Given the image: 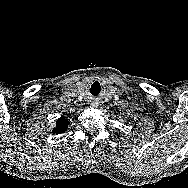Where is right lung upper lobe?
I'll return each instance as SVG.
<instances>
[{"instance_id": "1", "label": "right lung upper lobe", "mask_w": 188, "mask_h": 188, "mask_svg": "<svg viewBox=\"0 0 188 188\" xmlns=\"http://www.w3.org/2000/svg\"><path fill=\"white\" fill-rule=\"evenodd\" d=\"M69 125V121L65 119L64 117L59 118L56 121V126L53 128L52 133H64L67 130V127Z\"/></svg>"}]
</instances>
